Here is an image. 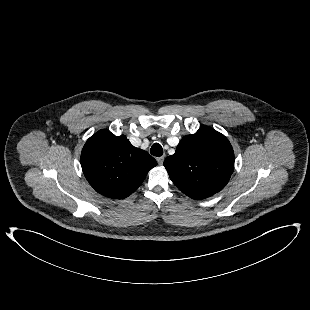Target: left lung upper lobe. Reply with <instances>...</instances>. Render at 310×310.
<instances>
[{"instance_id": "left-lung-upper-lobe-1", "label": "left lung upper lobe", "mask_w": 310, "mask_h": 310, "mask_svg": "<svg viewBox=\"0 0 310 310\" xmlns=\"http://www.w3.org/2000/svg\"><path fill=\"white\" fill-rule=\"evenodd\" d=\"M164 166L173 183L187 196L204 199L219 192L234 170V152L228 139L202 126L184 136Z\"/></svg>"}]
</instances>
